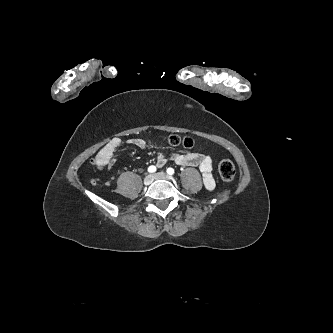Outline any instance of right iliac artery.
I'll use <instances>...</instances> for the list:
<instances>
[{
	"mask_svg": "<svg viewBox=\"0 0 333 333\" xmlns=\"http://www.w3.org/2000/svg\"><path fill=\"white\" fill-rule=\"evenodd\" d=\"M155 171H156V167L153 165L148 168V172H150V173H154Z\"/></svg>",
	"mask_w": 333,
	"mask_h": 333,
	"instance_id": "obj_1",
	"label": "right iliac artery"
}]
</instances>
